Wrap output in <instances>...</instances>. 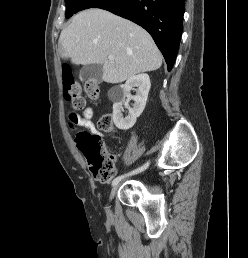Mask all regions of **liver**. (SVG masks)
Wrapping results in <instances>:
<instances>
[{
  "label": "liver",
  "instance_id": "obj_1",
  "mask_svg": "<svg viewBox=\"0 0 248 258\" xmlns=\"http://www.w3.org/2000/svg\"><path fill=\"white\" fill-rule=\"evenodd\" d=\"M58 48L60 56L70 58L75 65L101 64L103 81L112 84L162 65V55L147 31L97 8L84 10L73 18L62 30ZM109 55L114 56V61L108 60Z\"/></svg>",
  "mask_w": 248,
  "mask_h": 258
}]
</instances>
